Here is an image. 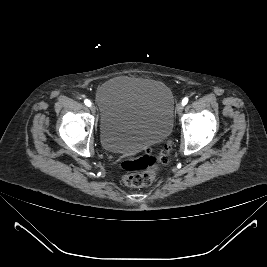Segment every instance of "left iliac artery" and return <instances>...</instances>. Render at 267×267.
<instances>
[{
	"label": "left iliac artery",
	"instance_id": "obj_1",
	"mask_svg": "<svg viewBox=\"0 0 267 267\" xmlns=\"http://www.w3.org/2000/svg\"><path fill=\"white\" fill-rule=\"evenodd\" d=\"M187 103H188V98L185 97V98L182 100V104H183V105H186Z\"/></svg>",
	"mask_w": 267,
	"mask_h": 267
}]
</instances>
